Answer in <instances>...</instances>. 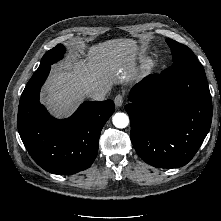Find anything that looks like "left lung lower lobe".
<instances>
[{"mask_svg":"<svg viewBox=\"0 0 221 221\" xmlns=\"http://www.w3.org/2000/svg\"><path fill=\"white\" fill-rule=\"evenodd\" d=\"M129 100L131 141L146 163L176 168L194 157L212 121L208 82L197 58L149 75L132 88Z\"/></svg>","mask_w":221,"mask_h":221,"instance_id":"obj_1","label":"left lung lower lobe"}]
</instances>
